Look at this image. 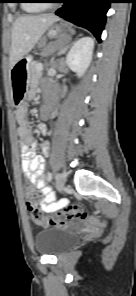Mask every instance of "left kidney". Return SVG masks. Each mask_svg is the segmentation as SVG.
I'll use <instances>...</instances> for the list:
<instances>
[{
	"mask_svg": "<svg viewBox=\"0 0 136 296\" xmlns=\"http://www.w3.org/2000/svg\"><path fill=\"white\" fill-rule=\"evenodd\" d=\"M94 50V40L91 37H82L70 49L66 56L67 66L82 77L89 67Z\"/></svg>",
	"mask_w": 136,
	"mask_h": 296,
	"instance_id": "left-kidney-1",
	"label": "left kidney"
}]
</instances>
